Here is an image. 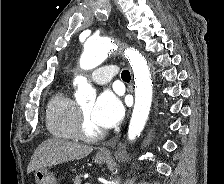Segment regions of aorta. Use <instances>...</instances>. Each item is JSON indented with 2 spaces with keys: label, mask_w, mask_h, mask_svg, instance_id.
<instances>
[{
  "label": "aorta",
  "mask_w": 224,
  "mask_h": 184,
  "mask_svg": "<svg viewBox=\"0 0 224 184\" xmlns=\"http://www.w3.org/2000/svg\"><path fill=\"white\" fill-rule=\"evenodd\" d=\"M119 44L110 38L90 37L84 44V52L80 58V67L91 70L99 66L112 51L117 50ZM128 59L135 81V104L128 127V139L133 141L140 136L148 119L152 103V79L150 68L144 56L132 47L124 50ZM74 84L77 85L76 100L85 102L95 97V90L83 76H76ZM117 184V183H113Z\"/></svg>",
  "instance_id": "1"
}]
</instances>
